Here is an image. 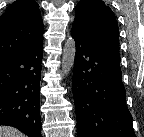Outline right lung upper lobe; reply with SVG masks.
I'll return each instance as SVG.
<instances>
[{
	"instance_id": "cb5924a9",
	"label": "right lung upper lobe",
	"mask_w": 144,
	"mask_h": 137,
	"mask_svg": "<svg viewBox=\"0 0 144 137\" xmlns=\"http://www.w3.org/2000/svg\"><path fill=\"white\" fill-rule=\"evenodd\" d=\"M43 21L34 0H17L0 17V61L43 39Z\"/></svg>"
}]
</instances>
